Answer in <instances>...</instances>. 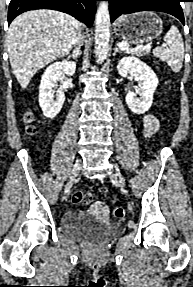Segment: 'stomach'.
<instances>
[{"label":"stomach","mask_w":193,"mask_h":287,"mask_svg":"<svg viewBox=\"0 0 193 287\" xmlns=\"http://www.w3.org/2000/svg\"><path fill=\"white\" fill-rule=\"evenodd\" d=\"M163 31V22L153 12H138L118 19L116 35L125 42L141 45L157 38Z\"/></svg>","instance_id":"1"}]
</instances>
